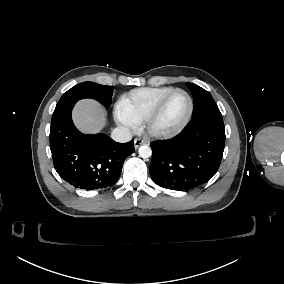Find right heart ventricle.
Wrapping results in <instances>:
<instances>
[{
  "mask_svg": "<svg viewBox=\"0 0 284 284\" xmlns=\"http://www.w3.org/2000/svg\"><path fill=\"white\" fill-rule=\"evenodd\" d=\"M174 88L173 86H155L132 89L118 98L116 110L120 117L132 125L141 123L156 102Z\"/></svg>",
  "mask_w": 284,
  "mask_h": 284,
  "instance_id": "right-heart-ventricle-1",
  "label": "right heart ventricle"
}]
</instances>
